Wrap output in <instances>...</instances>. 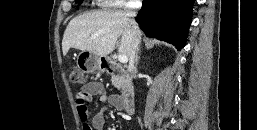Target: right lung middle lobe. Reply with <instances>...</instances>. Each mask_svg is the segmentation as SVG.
Wrapping results in <instances>:
<instances>
[{
    "instance_id": "dd1d6c3e",
    "label": "right lung middle lobe",
    "mask_w": 257,
    "mask_h": 130,
    "mask_svg": "<svg viewBox=\"0 0 257 130\" xmlns=\"http://www.w3.org/2000/svg\"><path fill=\"white\" fill-rule=\"evenodd\" d=\"M83 0H79V3H82Z\"/></svg>"
}]
</instances>
